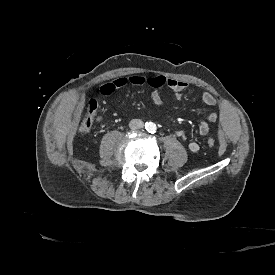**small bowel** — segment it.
Segmentation results:
<instances>
[{
  "instance_id": "small-bowel-1",
  "label": "small bowel",
  "mask_w": 275,
  "mask_h": 275,
  "mask_svg": "<svg viewBox=\"0 0 275 275\" xmlns=\"http://www.w3.org/2000/svg\"><path fill=\"white\" fill-rule=\"evenodd\" d=\"M127 84H131L133 86H142L147 84L153 87L154 90L151 93V100L155 107H160L162 105V96L156 89L157 87H161L164 85L170 87L171 89H173L175 93V98L177 100L181 99L182 92L187 88V83L178 79L156 76L149 80H145V78L140 75H132L128 78L120 77L102 84L99 88V92L102 95H110L116 90L126 86ZM201 99L203 103L210 108H214L216 106V99L211 93L204 92L201 96ZM217 118V112L215 110L211 111L207 115L206 119L200 122L198 126V133L202 136L207 135L210 131V125L216 122ZM177 135L183 140L187 139V136L183 131H178ZM188 147L192 152H196L199 150V145L195 141H190Z\"/></svg>"
}]
</instances>
